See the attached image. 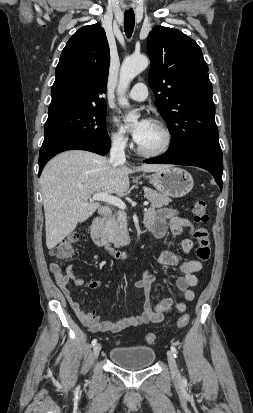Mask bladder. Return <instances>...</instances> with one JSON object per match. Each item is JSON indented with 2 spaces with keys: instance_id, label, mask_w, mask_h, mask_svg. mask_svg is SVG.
Returning a JSON list of instances; mask_svg holds the SVG:
<instances>
[{
  "instance_id": "31cf9c89",
  "label": "bladder",
  "mask_w": 253,
  "mask_h": 413,
  "mask_svg": "<svg viewBox=\"0 0 253 413\" xmlns=\"http://www.w3.org/2000/svg\"><path fill=\"white\" fill-rule=\"evenodd\" d=\"M110 360L117 366L128 370L150 367L156 358L153 348L144 345L117 346L109 353Z\"/></svg>"
}]
</instances>
